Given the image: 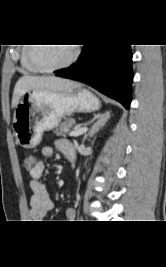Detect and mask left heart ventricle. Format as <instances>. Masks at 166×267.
I'll use <instances>...</instances> for the list:
<instances>
[{"label":"left heart ventricle","mask_w":166,"mask_h":267,"mask_svg":"<svg viewBox=\"0 0 166 267\" xmlns=\"http://www.w3.org/2000/svg\"><path fill=\"white\" fill-rule=\"evenodd\" d=\"M73 52L71 46H37L36 60L45 66H55L66 62Z\"/></svg>","instance_id":"obj_1"}]
</instances>
